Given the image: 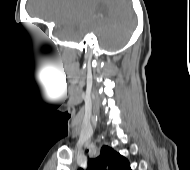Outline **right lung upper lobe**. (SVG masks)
Segmentation results:
<instances>
[{
  "instance_id": "1",
  "label": "right lung upper lobe",
  "mask_w": 190,
  "mask_h": 170,
  "mask_svg": "<svg viewBox=\"0 0 190 170\" xmlns=\"http://www.w3.org/2000/svg\"><path fill=\"white\" fill-rule=\"evenodd\" d=\"M88 170H131V168L125 157L111 147L103 146L97 157L88 159Z\"/></svg>"
}]
</instances>
